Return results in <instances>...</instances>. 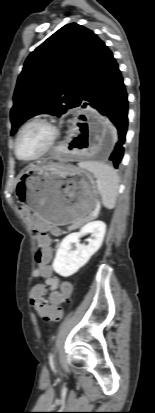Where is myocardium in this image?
Returning a JSON list of instances; mask_svg holds the SVG:
<instances>
[{"mask_svg": "<svg viewBox=\"0 0 155 413\" xmlns=\"http://www.w3.org/2000/svg\"><path fill=\"white\" fill-rule=\"evenodd\" d=\"M37 122H42V123H45L48 126H50V128L52 130L51 140L49 141V143L45 147V149L43 151H41L38 155H36L34 157H31V158H24L19 154V151H18V145H19L20 137H21L23 131L28 126H30L34 123H37ZM58 136H59V129H58V126H57L56 122L53 119L45 117V116L34 117V118L28 120L26 123H24L21 126V128L19 129V131L17 133V136H16V139H15V143H14V154L20 161H23V162H31V161L37 160V159L41 158L42 156L46 155L54 147V145H55V143L58 139Z\"/></svg>", "mask_w": 155, "mask_h": 413, "instance_id": "myocardium-1", "label": "myocardium"}]
</instances>
